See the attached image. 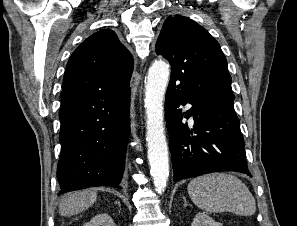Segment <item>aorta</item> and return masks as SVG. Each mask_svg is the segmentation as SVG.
<instances>
[{
    "instance_id": "obj_1",
    "label": "aorta",
    "mask_w": 297,
    "mask_h": 226,
    "mask_svg": "<svg viewBox=\"0 0 297 226\" xmlns=\"http://www.w3.org/2000/svg\"><path fill=\"white\" fill-rule=\"evenodd\" d=\"M169 79V65L155 61L148 72L145 86L146 140L150 174L155 190L161 194L169 177V158L163 123V100Z\"/></svg>"
}]
</instances>
